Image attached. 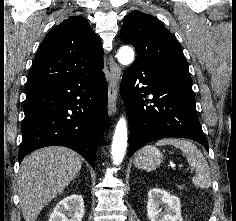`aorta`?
Listing matches in <instances>:
<instances>
[{
  "instance_id": "762f6f07",
  "label": "aorta",
  "mask_w": 236,
  "mask_h": 221,
  "mask_svg": "<svg viewBox=\"0 0 236 221\" xmlns=\"http://www.w3.org/2000/svg\"><path fill=\"white\" fill-rule=\"evenodd\" d=\"M117 59L122 65H129L134 60V51L130 46H123L117 53ZM128 131L125 118L118 121L112 142L113 163L119 165L125 156L127 148Z\"/></svg>"
}]
</instances>
